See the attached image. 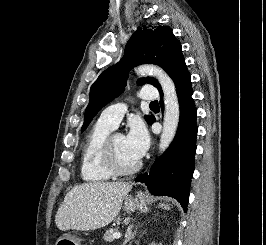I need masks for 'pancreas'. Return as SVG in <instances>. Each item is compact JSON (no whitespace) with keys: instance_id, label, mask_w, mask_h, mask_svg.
Returning a JSON list of instances; mask_svg holds the SVG:
<instances>
[{"instance_id":"obj_1","label":"pancreas","mask_w":266,"mask_h":245,"mask_svg":"<svg viewBox=\"0 0 266 245\" xmlns=\"http://www.w3.org/2000/svg\"><path fill=\"white\" fill-rule=\"evenodd\" d=\"M114 233H119L118 229H110V231H106L103 241H108V243H113L115 241L113 235Z\"/></svg>"}]
</instances>
